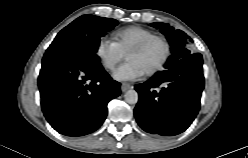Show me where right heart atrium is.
Returning a JSON list of instances; mask_svg holds the SVG:
<instances>
[{
    "mask_svg": "<svg viewBox=\"0 0 248 158\" xmlns=\"http://www.w3.org/2000/svg\"><path fill=\"white\" fill-rule=\"evenodd\" d=\"M96 54L102 66L108 71H112L124 58V53L116 42L106 37L99 39Z\"/></svg>",
    "mask_w": 248,
    "mask_h": 158,
    "instance_id": "right-heart-atrium-1",
    "label": "right heart atrium"
}]
</instances>
